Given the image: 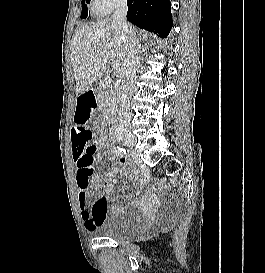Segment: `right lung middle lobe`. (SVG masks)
Wrapping results in <instances>:
<instances>
[{
	"label": "right lung middle lobe",
	"instance_id": "1",
	"mask_svg": "<svg viewBox=\"0 0 265 273\" xmlns=\"http://www.w3.org/2000/svg\"><path fill=\"white\" fill-rule=\"evenodd\" d=\"M90 0H82V13H81V18H86L88 15V10H87V3H89Z\"/></svg>",
	"mask_w": 265,
	"mask_h": 273
}]
</instances>
